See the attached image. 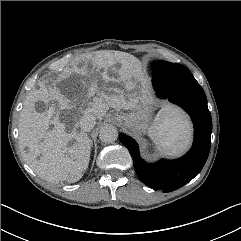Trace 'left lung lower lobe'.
<instances>
[{"mask_svg":"<svg viewBox=\"0 0 241 241\" xmlns=\"http://www.w3.org/2000/svg\"><path fill=\"white\" fill-rule=\"evenodd\" d=\"M152 82L158 97L168 98L191 116L194 124L192 148L182 158L161 160L153 165L141 159L138 145L131 137L120 134L119 139L128 148L139 179L154 190L172 192L191 181L203 168L210 150L211 114L206 95L198 82L170 90L167 80L158 71H153Z\"/></svg>","mask_w":241,"mask_h":241,"instance_id":"left-lung-lower-lobe-1","label":"left lung lower lobe"}]
</instances>
